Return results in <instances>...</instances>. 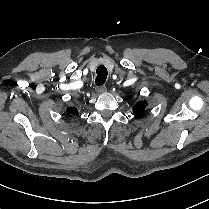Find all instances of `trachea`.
Here are the masks:
<instances>
[{
    "mask_svg": "<svg viewBox=\"0 0 209 209\" xmlns=\"http://www.w3.org/2000/svg\"><path fill=\"white\" fill-rule=\"evenodd\" d=\"M96 73H97V76H96V79H95V83L98 86H101L106 81L107 74H108L107 68L104 65H100V66L97 67Z\"/></svg>",
    "mask_w": 209,
    "mask_h": 209,
    "instance_id": "obj_1",
    "label": "trachea"
}]
</instances>
